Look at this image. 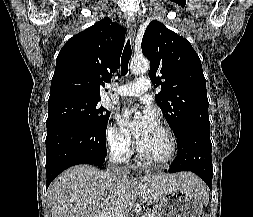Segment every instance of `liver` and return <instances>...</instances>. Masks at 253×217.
Wrapping results in <instances>:
<instances>
[{
    "label": "liver",
    "mask_w": 253,
    "mask_h": 217,
    "mask_svg": "<svg viewBox=\"0 0 253 217\" xmlns=\"http://www.w3.org/2000/svg\"><path fill=\"white\" fill-rule=\"evenodd\" d=\"M179 187L206 193L202 180L190 172L113 177L84 164L58 176L49 186L48 200L52 217H128L137 198L151 205Z\"/></svg>",
    "instance_id": "1"
}]
</instances>
